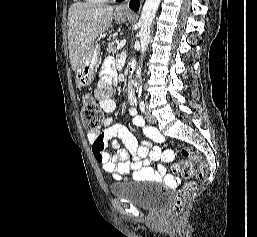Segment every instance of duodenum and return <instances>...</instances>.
I'll return each mask as SVG.
<instances>
[{"label": "duodenum", "mask_w": 257, "mask_h": 237, "mask_svg": "<svg viewBox=\"0 0 257 237\" xmlns=\"http://www.w3.org/2000/svg\"><path fill=\"white\" fill-rule=\"evenodd\" d=\"M130 73H134V68H130ZM127 93H128V98L132 104L136 102V97H135V91H134V86L133 83H129L127 86Z\"/></svg>", "instance_id": "duodenum-1"}]
</instances>
